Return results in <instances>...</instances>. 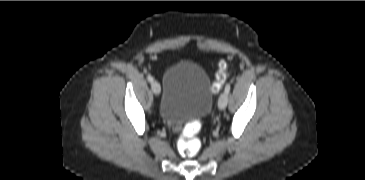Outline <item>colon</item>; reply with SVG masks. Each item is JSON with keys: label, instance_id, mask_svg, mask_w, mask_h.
<instances>
[{"label": "colon", "instance_id": "1", "mask_svg": "<svg viewBox=\"0 0 365 180\" xmlns=\"http://www.w3.org/2000/svg\"><path fill=\"white\" fill-rule=\"evenodd\" d=\"M226 79V65L220 62L216 74V80L213 84V90L218 92ZM201 124L199 122H191L187 124L177 142L179 153L186 158L195 157L201 150L202 142L199 137Z\"/></svg>", "mask_w": 365, "mask_h": 180}]
</instances>
